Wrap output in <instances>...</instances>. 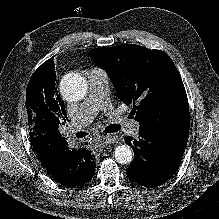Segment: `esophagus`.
<instances>
[{"instance_id":"obj_1","label":"esophagus","mask_w":219,"mask_h":219,"mask_svg":"<svg viewBox=\"0 0 219 219\" xmlns=\"http://www.w3.org/2000/svg\"><path fill=\"white\" fill-rule=\"evenodd\" d=\"M115 141H116V136H114V135H101V136H99V142L102 145L111 144V143H114Z\"/></svg>"}]
</instances>
